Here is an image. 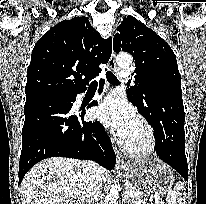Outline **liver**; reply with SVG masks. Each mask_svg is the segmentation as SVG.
<instances>
[{
    "mask_svg": "<svg viewBox=\"0 0 206 204\" xmlns=\"http://www.w3.org/2000/svg\"><path fill=\"white\" fill-rule=\"evenodd\" d=\"M89 171L84 161L45 159L31 168L20 185L22 204H84ZM109 171L102 168V183Z\"/></svg>",
    "mask_w": 206,
    "mask_h": 204,
    "instance_id": "1",
    "label": "liver"
}]
</instances>
